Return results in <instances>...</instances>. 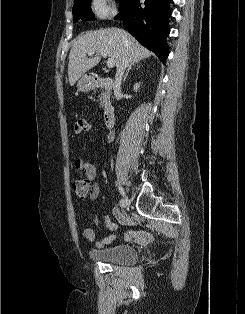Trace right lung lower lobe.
Here are the masks:
<instances>
[{
    "label": "right lung lower lobe",
    "mask_w": 245,
    "mask_h": 314,
    "mask_svg": "<svg viewBox=\"0 0 245 314\" xmlns=\"http://www.w3.org/2000/svg\"><path fill=\"white\" fill-rule=\"evenodd\" d=\"M171 0H129L115 19L124 22L128 31L145 47L152 50L162 61L169 54L166 37L170 29Z\"/></svg>",
    "instance_id": "obj_1"
}]
</instances>
